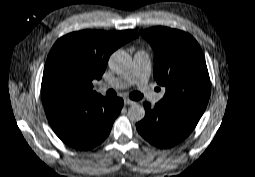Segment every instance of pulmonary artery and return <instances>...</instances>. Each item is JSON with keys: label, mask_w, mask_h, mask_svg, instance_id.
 <instances>
[{"label": "pulmonary artery", "mask_w": 255, "mask_h": 177, "mask_svg": "<svg viewBox=\"0 0 255 177\" xmlns=\"http://www.w3.org/2000/svg\"><path fill=\"white\" fill-rule=\"evenodd\" d=\"M151 74V61L150 57L145 50H138L135 52L132 64L129 70L120 77L111 79L108 84L102 83V86L110 88L125 89L131 85H137L139 88L145 90L149 82ZM164 92L157 96L160 100Z\"/></svg>", "instance_id": "pulmonary-artery-1"}]
</instances>
